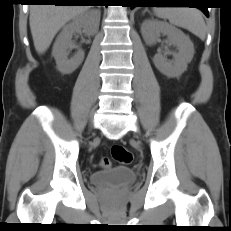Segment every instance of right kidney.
<instances>
[{
  "mask_svg": "<svg viewBox=\"0 0 231 231\" xmlns=\"http://www.w3.org/2000/svg\"><path fill=\"white\" fill-rule=\"evenodd\" d=\"M100 23V12L97 10L88 11L77 16L71 23L66 25L54 43L52 55L56 60L58 70L63 74H71L84 59V52H78L68 59V49L72 46L74 33L84 30L89 35L97 33Z\"/></svg>",
  "mask_w": 231,
  "mask_h": 231,
  "instance_id": "1",
  "label": "right kidney"
}]
</instances>
